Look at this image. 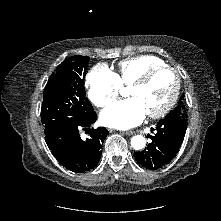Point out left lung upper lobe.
Returning <instances> with one entry per match:
<instances>
[{
  "label": "left lung upper lobe",
  "mask_w": 221,
  "mask_h": 221,
  "mask_svg": "<svg viewBox=\"0 0 221 221\" xmlns=\"http://www.w3.org/2000/svg\"><path fill=\"white\" fill-rule=\"evenodd\" d=\"M181 100L178 105L172 110L170 111L166 116H172V115H176V114H179L181 115L182 117L184 118H187V114H186V108H185V105H184V96L181 97Z\"/></svg>",
  "instance_id": "1"
}]
</instances>
